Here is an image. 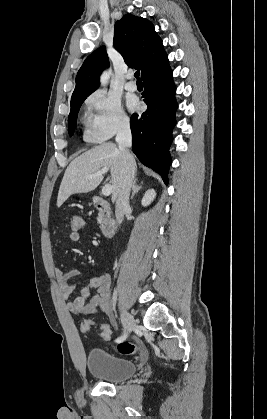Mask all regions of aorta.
Instances as JSON below:
<instances>
[{
	"instance_id": "aorta-1",
	"label": "aorta",
	"mask_w": 267,
	"mask_h": 419,
	"mask_svg": "<svg viewBox=\"0 0 267 419\" xmlns=\"http://www.w3.org/2000/svg\"><path fill=\"white\" fill-rule=\"evenodd\" d=\"M109 80V72H104L101 76V85L106 86Z\"/></svg>"
}]
</instances>
